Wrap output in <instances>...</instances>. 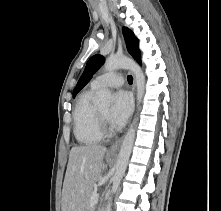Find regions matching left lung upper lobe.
Listing matches in <instances>:
<instances>
[{"label": "left lung upper lobe", "instance_id": "5c2ea615", "mask_svg": "<svg viewBox=\"0 0 221 211\" xmlns=\"http://www.w3.org/2000/svg\"><path fill=\"white\" fill-rule=\"evenodd\" d=\"M122 31L129 53L133 56L135 60L141 63L138 39L134 36L133 32L127 27H123ZM103 62L104 57L99 54L94 55L89 59L85 67V70L74 90L73 97H75L76 94L90 81L93 74L100 68Z\"/></svg>", "mask_w": 221, "mask_h": 211}]
</instances>
